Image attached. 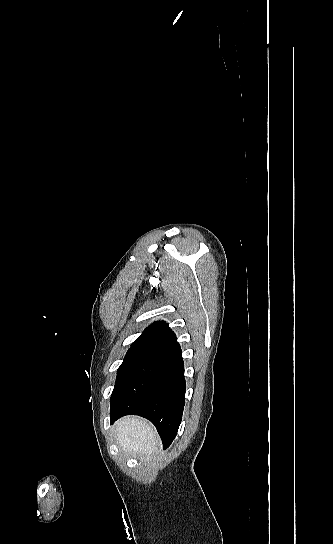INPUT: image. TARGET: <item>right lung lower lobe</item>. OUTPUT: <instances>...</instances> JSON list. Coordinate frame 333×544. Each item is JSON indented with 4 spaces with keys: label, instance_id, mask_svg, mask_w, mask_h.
I'll list each match as a JSON object with an SVG mask.
<instances>
[{
    "label": "right lung lower lobe",
    "instance_id": "right-lung-lower-lobe-1",
    "mask_svg": "<svg viewBox=\"0 0 333 544\" xmlns=\"http://www.w3.org/2000/svg\"><path fill=\"white\" fill-rule=\"evenodd\" d=\"M182 351L176 339L159 345L110 399V421L135 414L156 427L164 449L177 435L185 405Z\"/></svg>",
    "mask_w": 333,
    "mask_h": 544
}]
</instances>
